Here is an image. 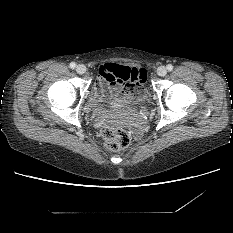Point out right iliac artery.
I'll list each match as a JSON object with an SVG mask.
<instances>
[{
  "label": "right iliac artery",
  "mask_w": 233,
  "mask_h": 233,
  "mask_svg": "<svg viewBox=\"0 0 233 233\" xmlns=\"http://www.w3.org/2000/svg\"><path fill=\"white\" fill-rule=\"evenodd\" d=\"M75 67H76V64L74 62H71L70 63V68L75 69Z\"/></svg>",
  "instance_id": "1"
}]
</instances>
